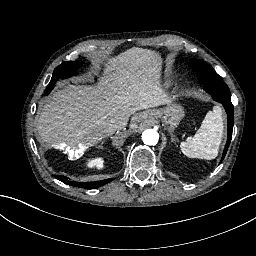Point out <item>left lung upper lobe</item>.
<instances>
[{"label":"left lung upper lobe","instance_id":"obj_1","mask_svg":"<svg viewBox=\"0 0 256 256\" xmlns=\"http://www.w3.org/2000/svg\"><path fill=\"white\" fill-rule=\"evenodd\" d=\"M189 65L197 72L200 82L204 84V89L210 93L216 101L222 103L226 109L228 119V138L223 152V157L221 159L222 161L227 153L232 138L234 124L233 105L231 103L229 88L215 70L205 61L193 58Z\"/></svg>","mask_w":256,"mask_h":256}]
</instances>
